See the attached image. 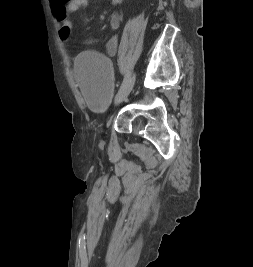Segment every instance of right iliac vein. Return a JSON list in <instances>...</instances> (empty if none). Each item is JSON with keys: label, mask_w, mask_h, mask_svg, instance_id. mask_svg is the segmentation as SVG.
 I'll return each mask as SVG.
<instances>
[{"label": "right iliac vein", "mask_w": 253, "mask_h": 267, "mask_svg": "<svg viewBox=\"0 0 253 267\" xmlns=\"http://www.w3.org/2000/svg\"><path fill=\"white\" fill-rule=\"evenodd\" d=\"M135 81V76H131L129 78V80L124 84V86L121 87L120 91L118 92L117 96L115 97V103H120L122 102L124 99L127 98V96L129 95L133 84Z\"/></svg>", "instance_id": "obj_1"}]
</instances>
